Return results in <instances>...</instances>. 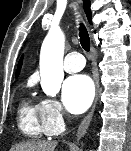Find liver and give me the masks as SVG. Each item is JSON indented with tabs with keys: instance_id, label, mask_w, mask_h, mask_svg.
Masks as SVG:
<instances>
[{
	"instance_id": "6515ba94",
	"label": "liver",
	"mask_w": 131,
	"mask_h": 151,
	"mask_svg": "<svg viewBox=\"0 0 131 151\" xmlns=\"http://www.w3.org/2000/svg\"><path fill=\"white\" fill-rule=\"evenodd\" d=\"M56 142H26L14 146L11 151H54Z\"/></svg>"
}]
</instances>
